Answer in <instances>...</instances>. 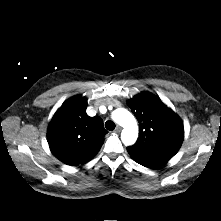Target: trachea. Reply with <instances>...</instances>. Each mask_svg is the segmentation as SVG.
Listing matches in <instances>:
<instances>
[{
    "label": "trachea",
    "mask_w": 221,
    "mask_h": 221,
    "mask_svg": "<svg viewBox=\"0 0 221 221\" xmlns=\"http://www.w3.org/2000/svg\"><path fill=\"white\" fill-rule=\"evenodd\" d=\"M105 127L107 130L112 131L115 129V123L111 120L106 121Z\"/></svg>",
    "instance_id": "1"
}]
</instances>
